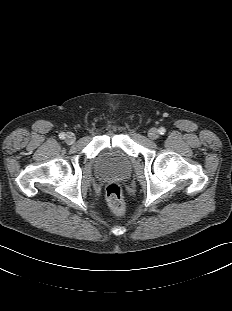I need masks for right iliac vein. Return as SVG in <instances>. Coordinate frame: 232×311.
<instances>
[{"label": "right iliac vein", "instance_id": "obj_1", "mask_svg": "<svg viewBox=\"0 0 232 311\" xmlns=\"http://www.w3.org/2000/svg\"><path fill=\"white\" fill-rule=\"evenodd\" d=\"M75 139H76L75 135L73 133L69 132L66 135L65 141H66L67 144H72V143H74Z\"/></svg>", "mask_w": 232, "mask_h": 311}]
</instances>
